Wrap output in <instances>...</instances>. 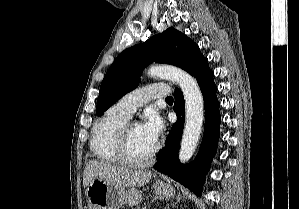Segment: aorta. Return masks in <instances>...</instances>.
Wrapping results in <instances>:
<instances>
[{
  "label": "aorta",
  "instance_id": "1",
  "mask_svg": "<svg viewBox=\"0 0 299 209\" xmlns=\"http://www.w3.org/2000/svg\"><path fill=\"white\" fill-rule=\"evenodd\" d=\"M150 77H159L177 83L185 99V127L179 151V160L186 163L193 156L198 144L204 120V101L197 81L184 70L169 66H150Z\"/></svg>",
  "mask_w": 299,
  "mask_h": 209
}]
</instances>
